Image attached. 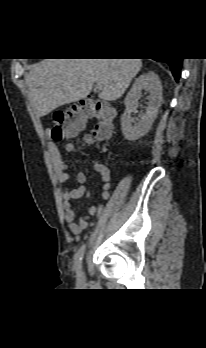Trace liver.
Instances as JSON below:
<instances>
[{
	"instance_id": "6515ba94",
	"label": "liver",
	"mask_w": 206,
	"mask_h": 348,
	"mask_svg": "<svg viewBox=\"0 0 206 348\" xmlns=\"http://www.w3.org/2000/svg\"><path fill=\"white\" fill-rule=\"evenodd\" d=\"M141 59H43L30 69L26 82L39 116L84 99L94 82L102 85L99 98L114 101L141 70Z\"/></svg>"
}]
</instances>
